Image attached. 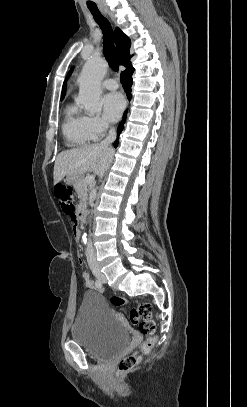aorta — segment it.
<instances>
[{
    "label": "aorta",
    "instance_id": "aorta-1",
    "mask_svg": "<svg viewBox=\"0 0 247 407\" xmlns=\"http://www.w3.org/2000/svg\"><path fill=\"white\" fill-rule=\"evenodd\" d=\"M108 70V63L99 56H93L89 59L80 74L78 103L84 106L89 115L100 113L102 106L99 102L101 95V82ZM83 241L86 243V234L83 235Z\"/></svg>",
    "mask_w": 247,
    "mask_h": 407
}]
</instances>
